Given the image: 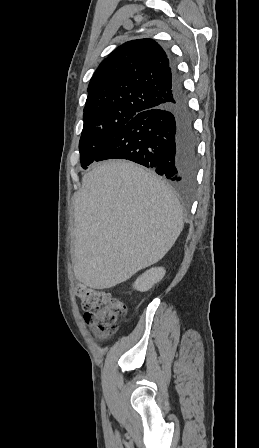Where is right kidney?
<instances>
[{
    "instance_id": "1",
    "label": "right kidney",
    "mask_w": 259,
    "mask_h": 448,
    "mask_svg": "<svg viewBox=\"0 0 259 448\" xmlns=\"http://www.w3.org/2000/svg\"><path fill=\"white\" fill-rule=\"evenodd\" d=\"M165 274L166 270H164V268H151V270H147L145 274H142V276L137 278L133 288L134 290H138V292H147V290H150L154 284L160 282Z\"/></svg>"
}]
</instances>
